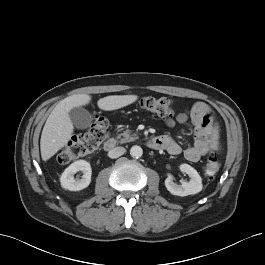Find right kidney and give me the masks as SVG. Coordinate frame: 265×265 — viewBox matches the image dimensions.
I'll list each match as a JSON object with an SVG mask.
<instances>
[{
	"instance_id": "right-kidney-1",
	"label": "right kidney",
	"mask_w": 265,
	"mask_h": 265,
	"mask_svg": "<svg viewBox=\"0 0 265 265\" xmlns=\"http://www.w3.org/2000/svg\"><path fill=\"white\" fill-rule=\"evenodd\" d=\"M78 171L83 173L82 179H75L74 174ZM92 169L89 162L78 160L70 164L62 173L60 182L62 188L70 191H80L88 187L91 182Z\"/></svg>"
}]
</instances>
